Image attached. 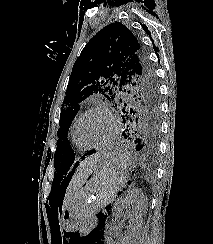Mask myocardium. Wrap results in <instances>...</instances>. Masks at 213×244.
<instances>
[{
	"instance_id": "f54148a6",
	"label": "myocardium",
	"mask_w": 213,
	"mask_h": 244,
	"mask_svg": "<svg viewBox=\"0 0 213 244\" xmlns=\"http://www.w3.org/2000/svg\"><path fill=\"white\" fill-rule=\"evenodd\" d=\"M96 111H99V112H103L110 120L111 122V126H112V129H111V133L110 135L108 136V138L106 140H104L102 143H99V144H95V145H89V144H86L84 143L78 136V133H77V128H78V125L80 123V121L89 113L91 112H96ZM118 132H119V122L118 120L116 119L115 115L113 114V112L111 111V109L106 106V105H103V104H100V105H95V106H91V107H88L87 109H85L78 117L77 119L75 120L74 124H73V130H72V133H73V136L75 138V140L79 143V145L81 147H83L84 149H101V148H104L106 146H108L109 144H111L115 138L117 137L118 135Z\"/></svg>"
}]
</instances>
